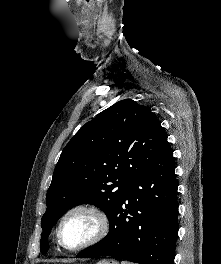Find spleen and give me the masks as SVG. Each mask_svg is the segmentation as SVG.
<instances>
[{"label": "spleen", "mask_w": 221, "mask_h": 264, "mask_svg": "<svg viewBox=\"0 0 221 264\" xmlns=\"http://www.w3.org/2000/svg\"><path fill=\"white\" fill-rule=\"evenodd\" d=\"M121 264H133V263H128L126 261H122Z\"/></svg>", "instance_id": "obj_1"}]
</instances>
